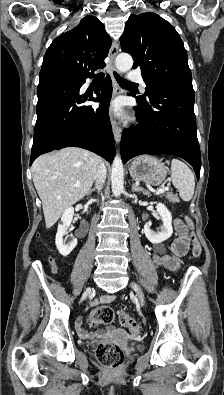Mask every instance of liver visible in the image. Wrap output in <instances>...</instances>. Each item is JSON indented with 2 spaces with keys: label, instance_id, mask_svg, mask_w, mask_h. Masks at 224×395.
Listing matches in <instances>:
<instances>
[{
  "label": "liver",
  "instance_id": "liver-1",
  "mask_svg": "<svg viewBox=\"0 0 224 395\" xmlns=\"http://www.w3.org/2000/svg\"><path fill=\"white\" fill-rule=\"evenodd\" d=\"M100 162L95 153L77 147L42 155L34 161L32 177L42 201L46 228L89 193Z\"/></svg>",
  "mask_w": 224,
  "mask_h": 395
}]
</instances>
